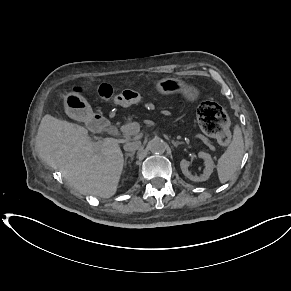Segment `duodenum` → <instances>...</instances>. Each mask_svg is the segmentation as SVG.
<instances>
[{
  "label": "duodenum",
  "mask_w": 291,
  "mask_h": 291,
  "mask_svg": "<svg viewBox=\"0 0 291 291\" xmlns=\"http://www.w3.org/2000/svg\"><path fill=\"white\" fill-rule=\"evenodd\" d=\"M89 126L97 132H104L111 128L110 122L98 113L90 117Z\"/></svg>",
  "instance_id": "410a0bca"
}]
</instances>
